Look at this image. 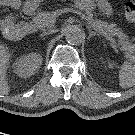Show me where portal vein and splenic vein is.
Masks as SVG:
<instances>
[{
    "label": "portal vein and splenic vein",
    "instance_id": "18ae733b",
    "mask_svg": "<svg viewBox=\"0 0 135 135\" xmlns=\"http://www.w3.org/2000/svg\"><path fill=\"white\" fill-rule=\"evenodd\" d=\"M65 12H72L74 14L79 15L82 19H86L84 14H82L80 11L75 10V9H67L66 11H57V16L60 15L61 13H65ZM56 15H53L50 19L49 22L54 24L55 20H56ZM103 35L107 38V39H111L110 35H108L106 32H102Z\"/></svg>",
    "mask_w": 135,
    "mask_h": 135
}]
</instances>
